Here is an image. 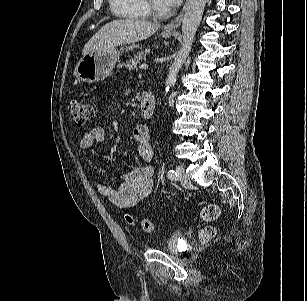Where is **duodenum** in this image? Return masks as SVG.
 I'll return each instance as SVG.
<instances>
[{"label": "duodenum", "instance_id": "1", "mask_svg": "<svg viewBox=\"0 0 307 301\" xmlns=\"http://www.w3.org/2000/svg\"><path fill=\"white\" fill-rule=\"evenodd\" d=\"M156 106L155 96L152 92L144 91L141 93L140 114L144 118H151Z\"/></svg>", "mask_w": 307, "mask_h": 301}]
</instances>
